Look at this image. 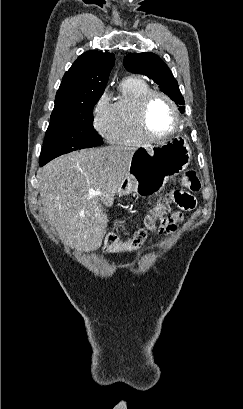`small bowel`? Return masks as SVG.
Listing matches in <instances>:
<instances>
[{
	"mask_svg": "<svg viewBox=\"0 0 243 409\" xmlns=\"http://www.w3.org/2000/svg\"><path fill=\"white\" fill-rule=\"evenodd\" d=\"M186 196L188 197L189 201H190V205L187 207H180L181 209L184 210H190L193 209L195 207L196 201L195 198L190 195V194H186ZM184 220V216L182 214V212L180 211H175L173 212L169 217H167L164 221H163V227H164V232L165 233H173L176 230V224L179 222H182Z\"/></svg>",
	"mask_w": 243,
	"mask_h": 409,
	"instance_id": "c3829d8e",
	"label": "small bowel"
}]
</instances>
